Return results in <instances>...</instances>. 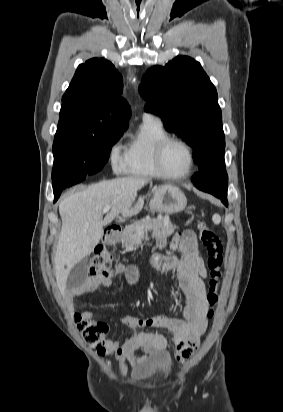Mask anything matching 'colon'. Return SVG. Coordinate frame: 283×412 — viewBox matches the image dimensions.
I'll use <instances>...</instances> for the list:
<instances>
[{
    "instance_id": "1",
    "label": "colon",
    "mask_w": 283,
    "mask_h": 412,
    "mask_svg": "<svg viewBox=\"0 0 283 412\" xmlns=\"http://www.w3.org/2000/svg\"><path fill=\"white\" fill-rule=\"evenodd\" d=\"M198 230L200 240L208 254L207 264L210 270V280L206 299L210 307L208 316L212 317L219 299L218 289L224 262L223 245L216 232L203 220L199 221ZM158 262L163 264L165 263V259L161 258ZM114 271L115 268L109 250L104 246L97 247L91 259V275L97 279H103L112 275ZM74 321L84 342L97 354L102 355L106 350L107 334L109 331L108 325L93 318L83 316L82 314H76Z\"/></svg>"
}]
</instances>
